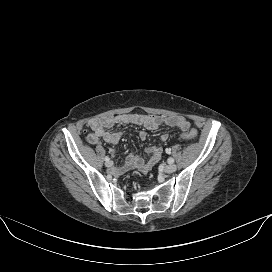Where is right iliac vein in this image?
<instances>
[{
	"label": "right iliac vein",
	"instance_id": "right-iliac-vein-1",
	"mask_svg": "<svg viewBox=\"0 0 272 272\" xmlns=\"http://www.w3.org/2000/svg\"><path fill=\"white\" fill-rule=\"evenodd\" d=\"M106 167H111L113 165V162L112 161H108L105 163Z\"/></svg>",
	"mask_w": 272,
	"mask_h": 272
}]
</instances>
